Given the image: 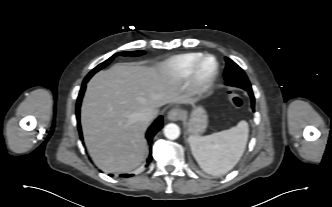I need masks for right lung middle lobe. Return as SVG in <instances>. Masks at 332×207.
<instances>
[{"mask_svg":"<svg viewBox=\"0 0 332 207\" xmlns=\"http://www.w3.org/2000/svg\"><path fill=\"white\" fill-rule=\"evenodd\" d=\"M144 54V51H131V52H118L114 54L112 57L104 61L103 63L99 64L97 67H95L85 78L86 81H88L96 72L106 67L116 56H140Z\"/></svg>","mask_w":332,"mask_h":207,"instance_id":"right-lung-middle-lobe-1","label":"right lung middle lobe"}]
</instances>
